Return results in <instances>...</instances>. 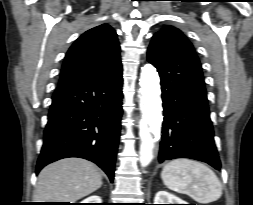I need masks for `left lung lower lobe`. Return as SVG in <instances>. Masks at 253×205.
Segmentation results:
<instances>
[{
  "mask_svg": "<svg viewBox=\"0 0 253 205\" xmlns=\"http://www.w3.org/2000/svg\"><path fill=\"white\" fill-rule=\"evenodd\" d=\"M148 61L157 68L162 89L158 161L191 158L219 170L202 68L194 50L174 38L154 35Z\"/></svg>",
  "mask_w": 253,
  "mask_h": 205,
  "instance_id": "0a47b994",
  "label": "left lung lower lobe"
}]
</instances>
